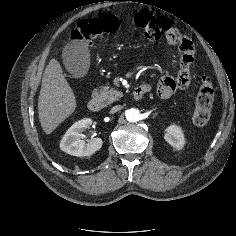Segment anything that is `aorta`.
I'll return each instance as SVG.
<instances>
[{"mask_svg":"<svg viewBox=\"0 0 236 236\" xmlns=\"http://www.w3.org/2000/svg\"><path fill=\"white\" fill-rule=\"evenodd\" d=\"M126 119L129 122H137L140 120V112L138 109L131 108L126 111Z\"/></svg>","mask_w":236,"mask_h":236,"instance_id":"obj_1","label":"aorta"}]
</instances>
